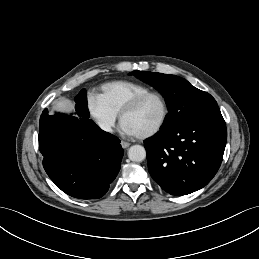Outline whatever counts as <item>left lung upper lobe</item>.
<instances>
[{"mask_svg":"<svg viewBox=\"0 0 259 259\" xmlns=\"http://www.w3.org/2000/svg\"><path fill=\"white\" fill-rule=\"evenodd\" d=\"M129 74L151 84L165 98L169 113L161 130L174 129L204 118L221 115L215 99L207 92L192 86L184 78L138 70Z\"/></svg>","mask_w":259,"mask_h":259,"instance_id":"obj_1","label":"left lung upper lobe"}]
</instances>
